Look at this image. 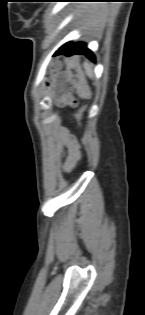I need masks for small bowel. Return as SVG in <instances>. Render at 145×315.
Instances as JSON below:
<instances>
[{
  "instance_id": "1",
  "label": "small bowel",
  "mask_w": 145,
  "mask_h": 315,
  "mask_svg": "<svg viewBox=\"0 0 145 315\" xmlns=\"http://www.w3.org/2000/svg\"><path fill=\"white\" fill-rule=\"evenodd\" d=\"M62 135L68 146V157L65 168L69 170L79 158V150L75 141V138L69 134L66 130L62 131Z\"/></svg>"
}]
</instances>
